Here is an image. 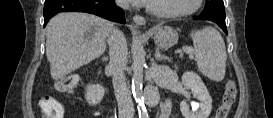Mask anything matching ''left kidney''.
I'll list each match as a JSON object with an SVG mask.
<instances>
[{"label": "left kidney", "mask_w": 273, "mask_h": 118, "mask_svg": "<svg viewBox=\"0 0 273 118\" xmlns=\"http://www.w3.org/2000/svg\"><path fill=\"white\" fill-rule=\"evenodd\" d=\"M182 84L187 89H191L193 96L200 102V110L197 108L190 110L188 103L183 100L180 103V110L184 118H208L212 110V98L198 74L185 72L182 75Z\"/></svg>", "instance_id": "5707ae66"}]
</instances>
